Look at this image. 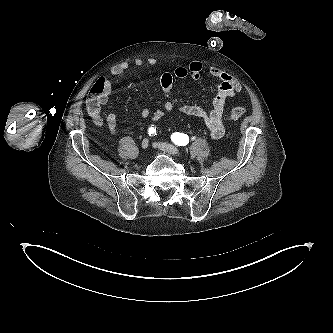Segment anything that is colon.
<instances>
[{
    "instance_id": "obj_1",
    "label": "colon",
    "mask_w": 333,
    "mask_h": 333,
    "mask_svg": "<svg viewBox=\"0 0 333 333\" xmlns=\"http://www.w3.org/2000/svg\"><path fill=\"white\" fill-rule=\"evenodd\" d=\"M104 95V83L103 79H99L93 85L89 92V96L86 102L88 113L92 118L98 117L101 115V106L102 99ZM246 113V109L244 107L238 106L231 109L229 112L230 120H238L243 117Z\"/></svg>"
}]
</instances>
